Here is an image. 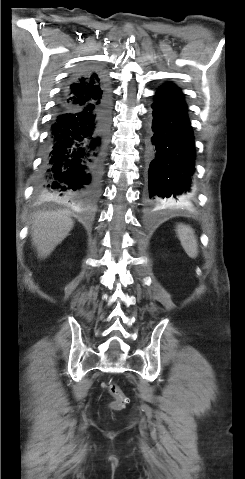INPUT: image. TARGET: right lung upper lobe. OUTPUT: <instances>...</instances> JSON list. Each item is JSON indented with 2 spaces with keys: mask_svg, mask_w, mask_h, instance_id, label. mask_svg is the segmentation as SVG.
Listing matches in <instances>:
<instances>
[{
  "mask_svg": "<svg viewBox=\"0 0 245 479\" xmlns=\"http://www.w3.org/2000/svg\"><path fill=\"white\" fill-rule=\"evenodd\" d=\"M108 94V86L103 74L89 71L67 86L60 102L62 105L84 106L98 102Z\"/></svg>",
  "mask_w": 245,
  "mask_h": 479,
  "instance_id": "1",
  "label": "right lung upper lobe"
}]
</instances>
